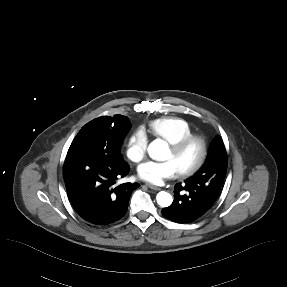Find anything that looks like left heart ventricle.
<instances>
[{"label": "left heart ventricle", "mask_w": 287, "mask_h": 287, "mask_svg": "<svg viewBox=\"0 0 287 287\" xmlns=\"http://www.w3.org/2000/svg\"><path fill=\"white\" fill-rule=\"evenodd\" d=\"M198 153H199V149H198V146L196 145L189 147L187 150H185L183 153L179 155H174L171 149H169L165 157V160L172 161L179 171L191 165L196 160Z\"/></svg>", "instance_id": "b2bd125f"}]
</instances>
